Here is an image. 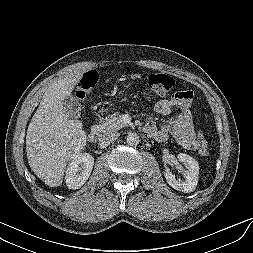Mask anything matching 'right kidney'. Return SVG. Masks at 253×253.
<instances>
[{
	"mask_svg": "<svg viewBox=\"0 0 253 253\" xmlns=\"http://www.w3.org/2000/svg\"><path fill=\"white\" fill-rule=\"evenodd\" d=\"M94 165V158L88 153L76 155L66 170V185L69 189H78L88 180Z\"/></svg>",
	"mask_w": 253,
	"mask_h": 253,
	"instance_id": "ca27d5eb",
	"label": "right kidney"
}]
</instances>
